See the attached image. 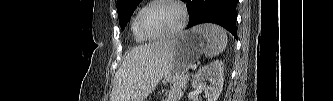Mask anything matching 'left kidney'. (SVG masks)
<instances>
[{"label": "left kidney", "instance_id": "obj_1", "mask_svg": "<svg viewBox=\"0 0 333 101\" xmlns=\"http://www.w3.org/2000/svg\"><path fill=\"white\" fill-rule=\"evenodd\" d=\"M224 64L220 60H215L202 67L192 80V87L203 91L207 101H217L223 89ZM210 85H207L206 82Z\"/></svg>", "mask_w": 333, "mask_h": 101}]
</instances>
